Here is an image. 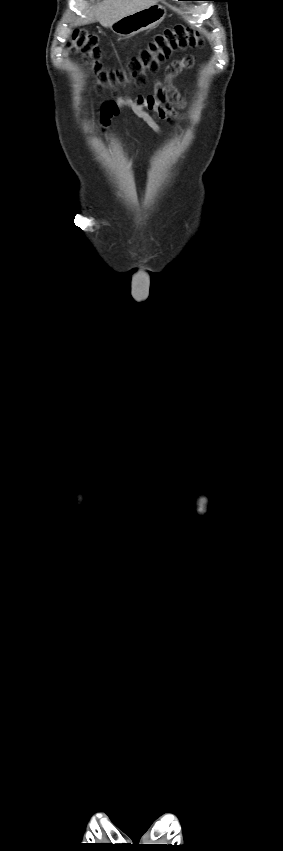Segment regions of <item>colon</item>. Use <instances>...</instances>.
<instances>
[{"instance_id": "colon-1", "label": "colon", "mask_w": 283, "mask_h": 851, "mask_svg": "<svg viewBox=\"0 0 283 851\" xmlns=\"http://www.w3.org/2000/svg\"><path fill=\"white\" fill-rule=\"evenodd\" d=\"M201 35L182 25L167 28L155 35L148 45L136 57H133L127 70L105 71L101 63V49L96 35L84 30L76 31L70 41L69 49L83 55L89 65L90 74L95 77L97 88L105 85L143 84L145 71H157L160 64L167 60L174 50L189 47H201Z\"/></svg>"}]
</instances>
